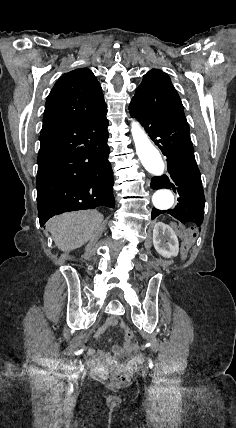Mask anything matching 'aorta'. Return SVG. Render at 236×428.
Segmentation results:
<instances>
[{
	"label": "aorta",
	"instance_id": "1",
	"mask_svg": "<svg viewBox=\"0 0 236 428\" xmlns=\"http://www.w3.org/2000/svg\"><path fill=\"white\" fill-rule=\"evenodd\" d=\"M131 133L136 153L144 168L154 176H161L165 169L162 157L141 125L135 120L131 123ZM152 202L157 210H168L174 204V195L167 189L158 190L154 193Z\"/></svg>",
	"mask_w": 236,
	"mask_h": 428
}]
</instances>
